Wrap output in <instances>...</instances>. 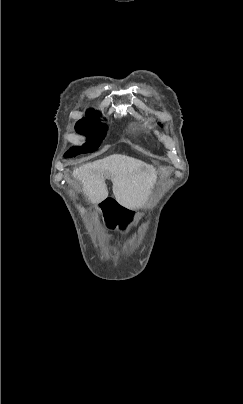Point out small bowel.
<instances>
[{"label": "small bowel", "instance_id": "obj_1", "mask_svg": "<svg viewBox=\"0 0 243 404\" xmlns=\"http://www.w3.org/2000/svg\"><path fill=\"white\" fill-rule=\"evenodd\" d=\"M104 226L108 230L126 231L136 219L131 209L121 204L115 197H105L97 207Z\"/></svg>", "mask_w": 243, "mask_h": 404}]
</instances>
